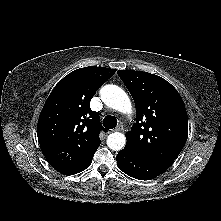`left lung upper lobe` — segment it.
Returning <instances> with one entry per match:
<instances>
[{
  "mask_svg": "<svg viewBox=\"0 0 221 221\" xmlns=\"http://www.w3.org/2000/svg\"><path fill=\"white\" fill-rule=\"evenodd\" d=\"M136 107V123L125 148L169 168L188 136V116L177 90L165 79L142 71L118 70Z\"/></svg>",
  "mask_w": 221,
  "mask_h": 221,
  "instance_id": "5c2ea615",
  "label": "left lung upper lobe"
}]
</instances>
